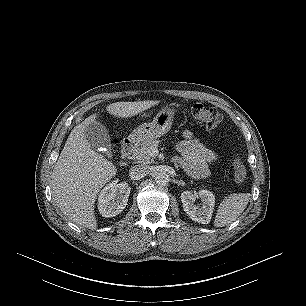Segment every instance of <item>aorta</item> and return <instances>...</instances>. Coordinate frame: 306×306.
Returning a JSON list of instances; mask_svg holds the SVG:
<instances>
[{"label":"aorta","instance_id":"1","mask_svg":"<svg viewBox=\"0 0 306 306\" xmlns=\"http://www.w3.org/2000/svg\"><path fill=\"white\" fill-rule=\"evenodd\" d=\"M170 177L166 172H159L155 176V181L159 185H167L169 183Z\"/></svg>","mask_w":306,"mask_h":306}]
</instances>
